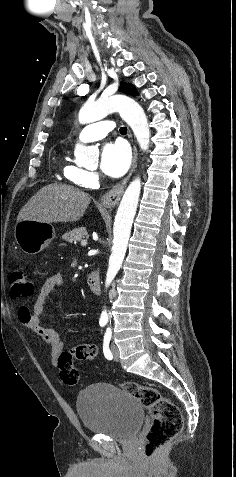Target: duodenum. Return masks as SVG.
<instances>
[{"instance_id": "410a0bca", "label": "duodenum", "mask_w": 236, "mask_h": 477, "mask_svg": "<svg viewBox=\"0 0 236 477\" xmlns=\"http://www.w3.org/2000/svg\"><path fill=\"white\" fill-rule=\"evenodd\" d=\"M88 287L95 294L101 293V279L98 272L93 271L87 277Z\"/></svg>"}]
</instances>
